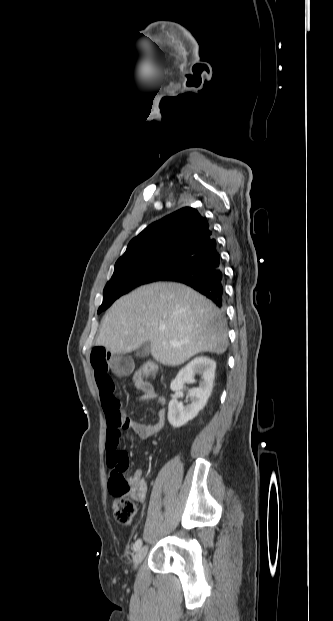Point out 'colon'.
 Instances as JSON below:
<instances>
[{
	"label": "colon",
	"mask_w": 333,
	"mask_h": 621,
	"mask_svg": "<svg viewBox=\"0 0 333 621\" xmlns=\"http://www.w3.org/2000/svg\"><path fill=\"white\" fill-rule=\"evenodd\" d=\"M157 372L156 364L152 362L144 363L134 374L135 377H149ZM126 468L116 466L111 469L109 477V491L115 497L113 502V515L115 520L121 524H130L136 515V507L133 503L138 495L143 493L144 485L140 480L128 478L125 474Z\"/></svg>",
	"instance_id": "obj_1"
}]
</instances>
